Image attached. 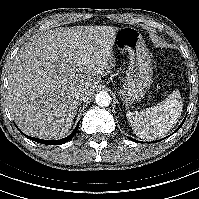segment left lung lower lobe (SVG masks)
I'll return each mask as SVG.
<instances>
[{"label":"left lung lower lobe","instance_id":"1","mask_svg":"<svg viewBox=\"0 0 199 199\" xmlns=\"http://www.w3.org/2000/svg\"><path fill=\"white\" fill-rule=\"evenodd\" d=\"M185 121V120H184ZM184 121L181 123V125L178 127V129L183 125V123H184ZM177 129V130H178ZM130 139V138H129ZM131 140H133V141H135V142H138V141H136V140H134V139H131ZM155 142H158V141H155Z\"/></svg>","mask_w":199,"mask_h":199}]
</instances>
